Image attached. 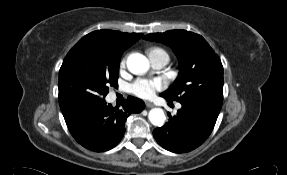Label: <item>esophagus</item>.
I'll list each match as a JSON object with an SVG mask.
<instances>
[{"label":"esophagus","instance_id":"obj_1","mask_svg":"<svg viewBox=\"0 0 287 175\" xmlns=\"http://www.w3.org/2000/svg\"><path fill=\"white\" fill-rule=\"evenodd\" d=\"M145 105H146L148 108L154 107V104H153L152 102H149V101H146V102H145Z\"/></svg>","mask_w":287,"mask_h":175}]
</instances>
